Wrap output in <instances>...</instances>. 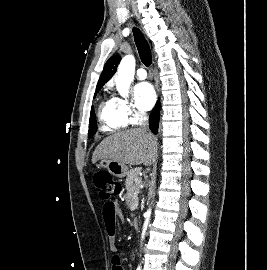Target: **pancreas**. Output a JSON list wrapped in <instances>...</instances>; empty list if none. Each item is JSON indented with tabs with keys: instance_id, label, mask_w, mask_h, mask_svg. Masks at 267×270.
I'll return each mask as SVG.
<instances>
[{
	"instance_id": "pancreas-1",
	"label": "pancreas",
	"mask_w": 267,
	"mask_h": 270,
	"mask_svg": "<svg viewBox=\"0 0 267 270\" xmlns=\"http://www.w3.org/2000/svg\"><path fill=\"white\" fill-rule=\"evenodd\" d=\"M140 170H141L140 168H135V169H131L127 173L125 186L127 190V199L130 204L138 200L137 195L139 192L140 183H136L135 179L139 178Z\"/></svg>"
}]
</instances>
